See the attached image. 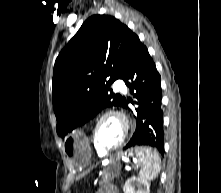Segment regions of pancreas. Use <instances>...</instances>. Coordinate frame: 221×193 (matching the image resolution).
<instances>
[{
	"label": "pancreas",
	"mask_w": 221,
	"mask_h": 193,
	"mask_svg": "<svg viewBox=\"0 0 221 193\" xmlns=\"http://www.w3.org/2000/svg\"><path fill=\"white\" fill-rule=\"evenodd\" d=\"M118 175H119L118 170H113L110 167H105L102 170V177H101L100 184L107 183V182L113 180Z\"/></svg>",
	"instance_id": "pancreas-1"
}]
</instances>
